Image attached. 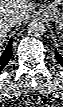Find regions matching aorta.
I'll return each instance as SVG.
<instances>
[{"label": "aorta", "mask_w": 63, "mask_h": 107, "mask_svg": "<svg viewBox=\"0 0 63 107\" xmlns=\"http://www.w3.org/2000/svg\"><path fill=\"white\" fill-rule=\"evenodd\" d=\"M27 32L32 37H41L46 32V27L42 21L32 20L27 27Z\"/></svg>", "instance_id": "762f6f07"}]
</instances>
